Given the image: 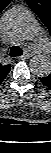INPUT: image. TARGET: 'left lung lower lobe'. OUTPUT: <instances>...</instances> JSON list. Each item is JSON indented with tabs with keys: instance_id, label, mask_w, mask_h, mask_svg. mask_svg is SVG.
<instances>
[{
	"instance_id": "1",
	"label": "left lung lower lobe",
	"mask_w": 51,
	"mask_h": 153,
	"mask_svg": "<svg viewBox=\"0 0 51 153\" xmlns=\"http://www.w3.org/2000/svg\"><path fill=\"white\" fill-rule=\"evenodd\" d=\"M39 79L44 85L51 88V76L48 75L47 77H39Z\"/></svg>"
}]
</instances>
